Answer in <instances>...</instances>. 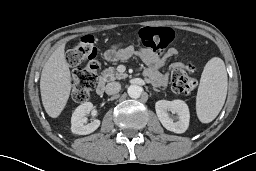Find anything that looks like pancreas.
<instances>
[{
    "label": "pancreas",
    "instance_id": "1",
    "mask_svg": "<svg viewBox=\"0 0 256 171\" xmlns=\"http://www.w3.org/2000/svg\"><path fill=\"white\" fill-rule=\"evenodd\" d=\"M126 77V74L119 73L114 67H109L101 73L100 82L105 83L109 81H114L116 79H124Z\"/></svg>",
    "mask_w": 256,
    "mask_h": 171
}]
</instances>
